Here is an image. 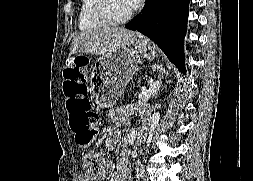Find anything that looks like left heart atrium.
<instances>
[{"label": "left heart atrium", "mask_w": 253, "mask_h": 181, "mask_svg": "<svg viewBox=\"0 0 253 181\" xmlns=\"http://www.w3.org/2000/svg\"><path fill=\"white\" fill-rule=\"evenodd\" d=\"M131 10H135L142 5L143 0H126Z\"/></svg>", "instance_id": "39dd6f15"}]
</instances>
